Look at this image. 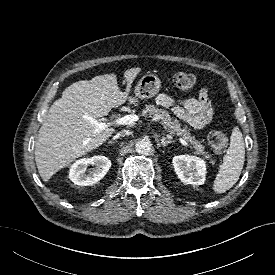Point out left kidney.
Instances as JSON below:
<instances>
[{
  "label": "left kidney",
  "instance_id": "5707ae66",
  "mask_svg": "<svg viewBox=\"0 0 275 275\" xmlns=\"http://www.w3.org/2000/svg\"><path fill=\"white\" fill-rule=\"evenodd\" d=\"M174 170L184 184L202 185L205 182V161L196 156L179 155L172 160Z\"/></svg>",
  "mask_w": 275,
  "mask_h": 275
}]
</instances>
